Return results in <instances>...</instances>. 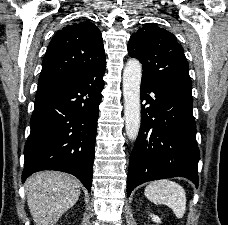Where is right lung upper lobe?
<instances>
[{
  "label": "right lung upper lobe",
  "instance_id": "right-lung-upper-lobe-1",
  "mask_svg": "<svg viewBox=\"0 0 228 225\" xmlns=\"http://www.w3.org/2000/svg\"><path fill=\"white\" fill-rule=\"evenodd\" d=\"M105 63L100 30L89 20L77 21L58 31L49 43L38 87L77 78Z\"/></svg>",
  "mask_w": 228,
  "mask_h": 225
}]
</instances>
